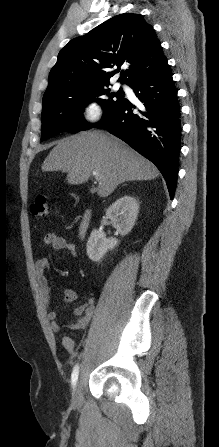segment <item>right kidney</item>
Instances as JSON below:
<instances>
[{"mask_svg":"<svg viewBox=\"0 0 219 447\" xmlns=\"http://www.w3.org/2000/svg\"><path fill=\"white\" fill-rule=\"evenodd\" d=\"M139 213V203L131 196H123L116 200L106 210V216L111 220L112 226L121 236H126L135 225ZM117 238H106L97 229H94L87 241V255L94 262H100L104 255L118 246Z\"/></svg>","mask_w":219,"mask_h":447,"instance_id":"obj_1","label":"right kidney"}]
</instances>
